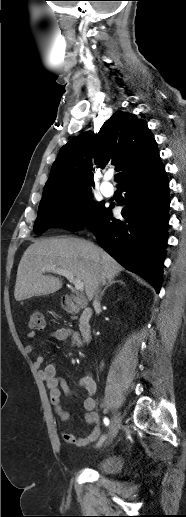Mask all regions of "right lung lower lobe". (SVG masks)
Segmentation results:
<instances>
[{
  "label": "right lung lower lobe",
  "mask_w": 186,
  "mask_h": 517,
  "mask_svg": "<svg viewBox=\"0 0 186 517\" xmlns=\"http://www.w3.org/2000/svg\"><path fill=\"white\" fill-rule=\"evenodd\" d=\"M123 219L110 206L89 224L99 244L128 270L147 279L159 293L167 244L169 182L161 162L125 182Z\"/></svg>",
  "instance_id": "obj_1"
}]
</instances>
